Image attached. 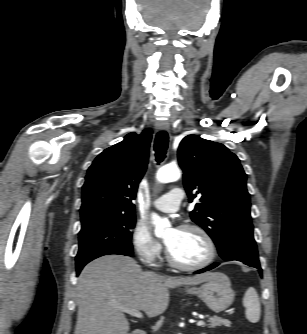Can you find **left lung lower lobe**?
<instances>
[{
	"label": "left lung lower lobe",
	"mask_w": 307,
	"mask_h": 334,
	"mask_svg": "<svg viewBox=\"0 0 307 334\" xmlns=\"http://www.w3.org/2000/svg\"><path fill=\"white\" fill-rule=\"evenodd\" d=\"M220 256L225 261L243 262L246 265L257 268L259 273L262 274V269L258 259L257 246L253 236L238 235L232 237L226 244L224 253L220 254ZM218 265L219 263H214L195 272V274L211 270Z\"/></svg>",
	"instance_id": "left-lung-lower-lobe-1"
}]
</instances>
